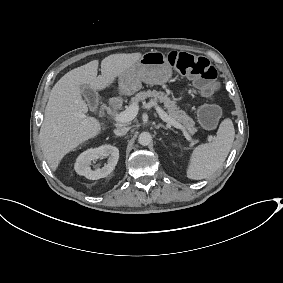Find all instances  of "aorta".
I'll list each match as a JSON object with an SVG mask.
<instances>
[{
    "label": "aorta",
    "instance_id": "762f6f07",
    "mask_svg": "<svg viewBox=\"0 0 283 283\" xmlns=\"http://www.w3.org/2000/svg\"><path fill=\"white\" fill-rule=\"evenodd\" d=\"M152 136L149 132H142L138 137V142L142 146H147L151 143Z\"/></svg>",
    "mask_w": 283,
    "mask_h": 283
}]
</instances>
